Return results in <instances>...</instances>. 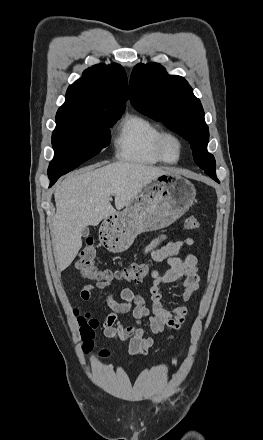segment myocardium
I'll list each match as a JSON object with an SVG mask.
<instances>
[{
	"mask_svg": "<svg viewBox=\"0 0 263 440\" xmlns=\"http://www.w3.org/2000/svg\"><path fill=\"white\" fill-rule=\"evenodd\" d=\"M166 138H172L176 141V143L178 144V156L176 159L174 160H169L164 153V149H163V143L165 141ZM155 149L156 152L159 156V158L168 164H175L177 163L183 156V152H184V142L183 139L175 132L171 131V130H161L159 132V134L156 137V141H155Z\"/></svg>",
	"mask_w": 263,
	"mask_h": 440,
	"instance_id": "obj_1",
	"label": "myocardium"
}]
</instances>
